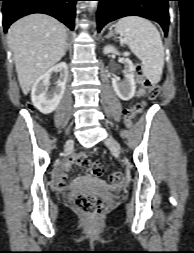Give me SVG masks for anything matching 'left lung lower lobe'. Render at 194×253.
<instances>
[{"mask_svg": "<svg viewBox=\"0 0 194 253\" xmlns=\"http://www.w3.org/2000/svg\"><path fill=\"white\" fill-rule=\"evenodd\" d=\"M98 32L108 22L130 15L141 16L158 22L165 35L169 26V6L171 0H97Z\"/></svg>", "mask_w": 194, "mask_h": 253, "instance_id": "left-lung-lower-lobe-1", "label": "left lung lower lobe"}]
</instances>
